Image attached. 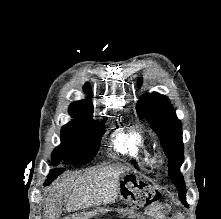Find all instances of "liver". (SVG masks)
<instances>
[{
    "mask_svg": "<svg viewBox=\"0 0 221 219\" xmlns=\"http://www.w3.org/2000/svg\"><path fill=\"white\" fill-rule=\"evenodd\" d=\"M129 171L125 166H109L84 173H66L48 188L44 219H57L62 206L71 212L81 208L112 203L118 197V181Z\"/></svg>",
    "mask_w": 221,
    "mask_h": 219,
    "instance_id": "obj_1",
    "label": "liver"
}]
</instances>
